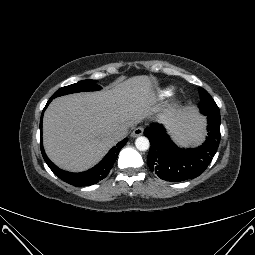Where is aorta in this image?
Segmentation results:
<instances>
[{"label":"aorta","mask_w":255,"mask_h":255,"mask_svg":"<svg viewBox=\"0 0 255 255\" xmlns=\"http://www.w3.org/2000/svg\"><path fill=\"white\" fill-rule=\"evenodd\" d=\"M135 146L139 151H146L150 147V142L147 137L139 136L135 140Z\"/></svg>","instance_id":"762f6f07"}]
</instances>
